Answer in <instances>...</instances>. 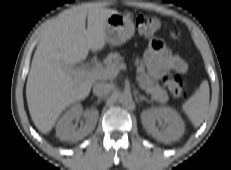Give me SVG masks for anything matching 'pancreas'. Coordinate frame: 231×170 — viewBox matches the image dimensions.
Returning a JSON list of instances; mask_svg holds the SVG:
<instances>
[{
  "label": "pancreas",
  "instance_id": "pancreas-1",
  "mask_svg": "<svg viewBox=\"0 0 231 170\" xmlns=\"http://www.w3.org/2000/svg\"><path fill=\"white\" fill-rule=\"evenodd\" d=\"M124 61V58L118 53H110L104 61L105 69H116ZM137 82L139 86L151 95L152 100L160 103H165L168 99L167 92L160 87L159 84H155L145 72L143 65L137 68Z\"/></svg>",
  "mask_w": 231,
  "mask_h": 170
}]
</instances>
